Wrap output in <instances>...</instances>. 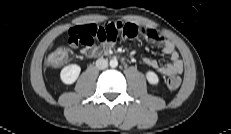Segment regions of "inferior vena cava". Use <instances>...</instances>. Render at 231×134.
<instances>
[{"label": "inferior vena cava", "mask_w": 231, "mask_h": 134, "mask_svg": "<svg viewBox=\"0 0 231 134\" xmlns=\"http://www.w3.org/2000/svg\"><path fill=\"white\" fill-rule=\"evenodd\" d=\"M108 66V61L104 58H99L96 61V67L98 69H105Z\"/></svg>", "instance_id": "602c4592"}]
</instances>
